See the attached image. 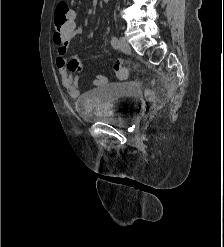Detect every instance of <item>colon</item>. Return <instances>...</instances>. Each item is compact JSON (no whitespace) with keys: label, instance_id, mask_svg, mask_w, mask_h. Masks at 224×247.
<instances>
[{"label":"colon","instance_id":"5ec220e1","mask_svg":"<svg viewBox=\"0 0 224 247\" xmlns=\"http://www.w3.org/2000/svg\"><path fill=\"white\" fill-rule=\"evenodd\" d=\"M74 12L70 8L67 2L61 1L57 4L54 14V33L58 36L72 38L74 36ZM68 67L71 71H79L81 64L77 58L69 60ZM114 71L119 80H126L128 77V71L118 65H114ZM145 96L148 99H152L154 93L151 90L145 91Z\"/></svg>","mask_w":224,"mask_h":247}]
</instances>
